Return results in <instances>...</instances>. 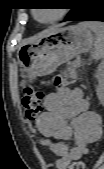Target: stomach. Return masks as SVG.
<instances>
[{
    "mask_svg": "<svg viewBox=\"0 0 104 169\" xmlns=\"http://www.w3.org/2000/svg\"><path fill=\"white\" fill-rule=\"evenodd\" d=\"M91 30L83 25L53 28L18 51L23 77L28 82L53 73L59 65L80 53L89 51L94 43Z\"/></svg>",
    "mask_w": 104,
    "mask_h": 169,
    "instance_id": "stomach-1",
    "label": "stomach"
}]
</instances>
